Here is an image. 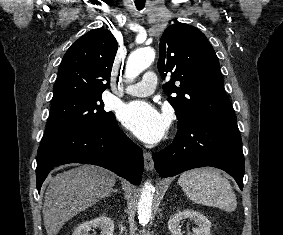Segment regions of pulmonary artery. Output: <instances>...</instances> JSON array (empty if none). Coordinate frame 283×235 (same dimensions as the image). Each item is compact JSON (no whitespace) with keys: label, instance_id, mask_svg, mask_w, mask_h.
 <instances>
[{"label":"pulmonary artery","instance_id":"obj_1","mask_svg":"<svg viewBox=\"0 0 283 235\" xmlns=\"http://www.w3.org/2000/svg\"><path fill=\"white\" fill-rule=\"evenodd\" d=\"M157 84L154 72H146L141 81L125 88V92L132 96L145 97L152 94Z\"/></svg>","mask_w":283,"mask_h":235}]
</instances>
